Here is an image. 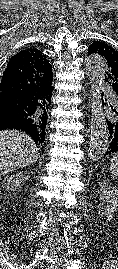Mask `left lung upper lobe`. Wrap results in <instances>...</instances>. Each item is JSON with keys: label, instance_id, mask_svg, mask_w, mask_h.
I'll use <instances>...</instances> for the list:
<instances>
[{"label": "left lung upper lobe", "instance_id": "obj_1", "mask_svg": "<svg viewBox=\"0 0 118 269\" xmlns=\"http://www.w3.org/2000/svg\"><path fill=\"white\" fill-rule=\"evenodd\" d=\"M88 53L99 54L105 59V76L118 99V52L104 42L94 41L88 47Z\"/></svg>", "mask_w": 118, "mask_h": 269}]
</instances>
